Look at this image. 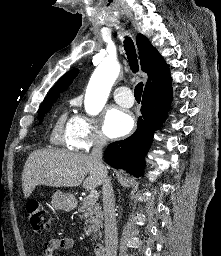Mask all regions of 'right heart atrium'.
<instances>
[{"label": "right heart atrium", "instance_id": "obj_1", "mask_svg": "<svg viewBox=\"0 0 221 256\" xmlns=\"http://www.w3.org/2000/svg\"><path fill=\"white\" fill-rule=\"evenodd\" d=\"M68 139L71 147L82 151L101 147L106 143V139L95 121L82 113L75 114L69 120Z\"/></svg>", "mask_w": 221, "mask_h": 256}]
</instances>
